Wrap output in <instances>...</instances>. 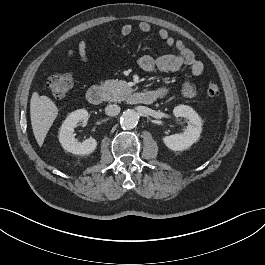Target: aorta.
<instances>
[{"instance_id": "obj_1", "label": "aorta", "mask_w": 265, "mask_h": 265, "mask_svg": "<svg viewBox=\"0 0 265 265\" xmlns=\"http://www.w3.org/2000/svg\"><path fill=\"white\" fill-rule=\"evenodd\" d=\"M138 119V113L134 110L128 109L122 114L121 125L126 129H132L137 125Z\"/></svg>"}]
</instances>
